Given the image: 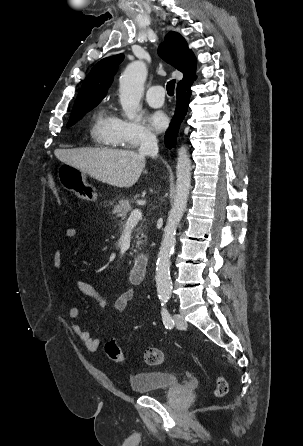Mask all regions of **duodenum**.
Wrapping results in <instances>:
<instances>
[{
	"label": "duodenum",
	"instance_id": "410a0bca",
	"mask_svg": "<svg viewBox=\"0 0 303 446\" xmlns=\"http://www.w3.org/2000/svg\"><path fill=\"white\" fill-rule=\"evenodd\" d=\"M148 262H149V257L145 253L139 255L136 258L130 271L131 279L134 282H139L145 277L148 267Z\"/></svg>",
	"mask_w": 303,
	"mask_h": 446
}]
</instances>
